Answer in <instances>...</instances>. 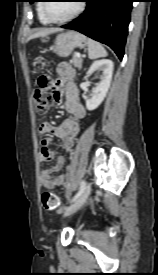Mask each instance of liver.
I'll return each mask as SVG.
<instances>
[{
	"instance_id": "1",
	"label": "liver",
	"mask_w": 158,
	"mask_h": 275,
	"mask_svg": "<svg viewBox=\"0 0 158 275\" xmlns=\"http://www.w3.org/2000/svg\"><path fill=\"white\" fill-rule=\"evenodd\" d=\"M59 30L60 29H55V28H53V29H42L38 32H35L33 35H31L29 39L46 36V35H49L51 33L59 31Z\"/></svg>"
}]
</instances>
